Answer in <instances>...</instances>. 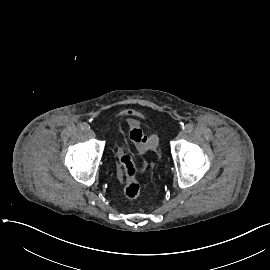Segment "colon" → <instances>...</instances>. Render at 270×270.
Instances as JSON below:
<instances>
[{
	"instance_id": "obj_1",
	"label": "colon",
	"mask_w": 270,
	"mask_h": 270,
	"mask_svg": "<svg viewBox=\"0 0 270 270\" xmlns=\"http://www.w3.org/2000/svg\"><path fill=\"white\" fill-rule=\"evenodd\" d=\"M129 138L140 152L154 150L159 144L158 135L146 134L136 123H132L130 126ZM118 163V176L124 197L130 201L137 200L141 196V186L131 155L126 149L119 150Z\"/></svg>"
}]
</instances>
